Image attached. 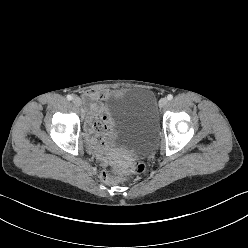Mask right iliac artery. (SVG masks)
Masks as SVG:
<instances>
[{"label":"right iliac artery","mask_w":248,"mask_h":248,"mask_svg":"<svg viewBox=\"0 0 248 248\" xmlns=\"http://www.w3.org/2000/svg\"><path fill=\"white\" fill-rule=\"evenodd\" d=\"M67 99L72 100L73 99L72 95H67Z\"/></svg>","instance_id":"1"}]
</instances>
